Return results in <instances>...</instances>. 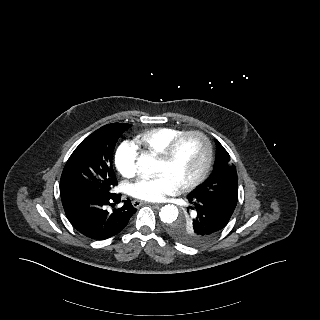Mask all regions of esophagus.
Instances as JSON below:
<instances>
[{"mask_svg":"<svg viewBox=\"0 0 320 320\" xmlns=\"http://www.w3.org/2000/svg\"><path fill=\"white\" fill-rule=\"evenodd\" d=\"M147 202H144V201H140V200H134L133 202H132V205L134 206V207H136V208H138V207H140L141 205H143V204H146ZM153 206H158V204H152Z\"/></svg>","mask_w":320,"mask_h":320,"instance_id":"esophagus-1","label":"esophagus"}]
</instances>
